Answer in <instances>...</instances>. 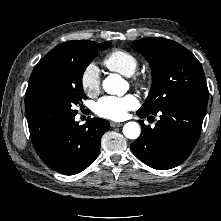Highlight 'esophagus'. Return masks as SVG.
Returning <instances> with one entry per match:
<instances>
[{
  "label": "esophagus",
  "mask_w": 221,
  "mask_h": 221,
  "mask_svg": "<svg viewBox=\"0 0 221 221\" xmlns=\"http://www.w3.org/2000/svg\"><path fill=\"white\" fill-rule=\"evenodd\" d=\"M123 125V123H120V122H111L110 123V126L111 127H120V126H122Z\"/></svg>",
  "instance_id": "1"
}]
</instances>
